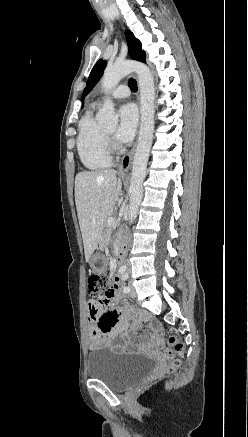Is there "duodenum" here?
I'll return each instance as SVG.
<instances>
[{
	"instance_id": "410a0bca",
	"label": "duodenum",
	"mask_w": 248,
	"mask_h": 437,
	"mask_svg": "<svg viewBox=\"0 0 248 437\" xmlns=\"http://www.w3.org/2000/svg\"><path fill=\"white\" fill-rule=\"evenodd\" d=\"M124 253H125L124 246L123 245L118 246V248H117V255H118L119 260H121L123 258Z\"/></svg>"
}]
</instances>
